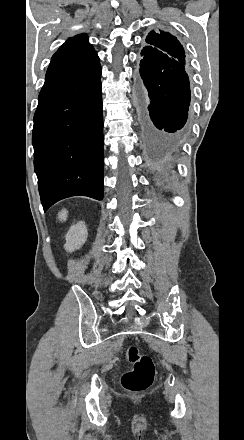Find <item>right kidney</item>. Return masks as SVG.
Here are the masks:
<instances>
[{"label": "right kidney", "instance_id": "1", "mask_svg": "<svg viewBox=\"0 0 244 440\" xmlns=\"http://www.w3.org/2000/svg\"><path fill=\"white\" fill-rule=\"evenodd\" d=\"M88 238L87 226L85 222H77L74 226H71L66 234V244H64V250L66 252H74L79 250L82 244H85Z\"/></svg>", "mask_w": 244, "mask_h": 440}]
</instances>
